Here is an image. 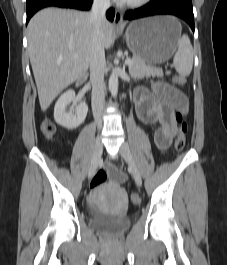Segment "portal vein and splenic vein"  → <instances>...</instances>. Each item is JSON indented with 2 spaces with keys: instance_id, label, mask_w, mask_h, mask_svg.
<instances>
[{
  "instance_id": "18ae733b",
  "label": "portal vein and splenic vein",
  "mask_w": 227,
  "mask_h": 265,
  "mask_svg": "<svg viewBox=\"0 0 227 265\" xmlns=\"http://www.w3.org/2000/svg\"><path fill=\"white\" fill-rule=\"evenodd\" d=\"M75 57H77V56H75ZM125 64H127V65H130V64H132V61H131V59H127V60L125 61Z\"/></svg>"
}]
</instances>
